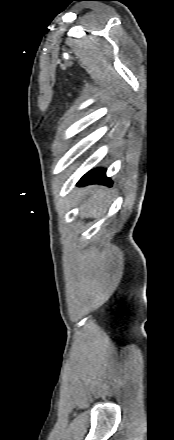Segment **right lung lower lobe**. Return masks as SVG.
Listing matches in <instances>:
<instances>
[{
    "label": "right lung lower lobe",
    "mask_w": 174,
    "mask_h": 440,
    "mask_svg": "<svg viewBox=\"0 0 174 440\" xmlns=\"http://www.w3.org/2000/svg\"><path fill=\"white\" fill-rule=\"evenodd\" d=\"M87 184H105L112 185L110 178L106 177V171L104 169H96L85 174L79 181L78 185Z\"/></svg>",
    "instance_id": "98d812e1"
}]
</instances>
